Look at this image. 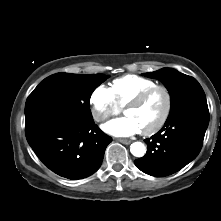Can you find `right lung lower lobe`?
Listing matches in <instances>:
<instances>
[{
    "mask_svg": "<svg viewBox=\"0 0 221 221\" xmlns=\"http://www.w3.org/2000/svg\"><path fill=\"white\" fill-rule=\"evenodd\" d=\"M25 116L29 145L54 173L76 180L98 170L112 138L93 120L80 121L54 107L40 108Z\"/></svg>",
    "mask_w": 221,
    "mask_h": 221,
    "instance_id": "right-lung-lower-lobe-1",
    "label": "right lung lower lobe"
}]
</instances>
